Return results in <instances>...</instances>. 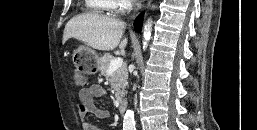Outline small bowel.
<instances>
[{
	"mask_svg": "<svg viewBox=\"0 0 257 130\" xmlns=\"http://www.w3.org/2000/svg\"><path fill=\"white\" fill-rule=\"evenodd\" d=\"M106 95L105 89L98 85L93 84L79 92V114L83 118V130H101L98 126L85 120L89 114L94 115L98 119H105L109 113L107 110L97 107L94 103V98H100Z\"/></svg>",
	"mask_w": 257,
	"mask_h": 130,
	"instance_id": "obj_1",
	"label": "small bowel"
}]
</instances>
